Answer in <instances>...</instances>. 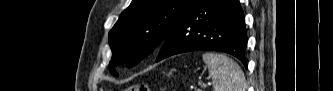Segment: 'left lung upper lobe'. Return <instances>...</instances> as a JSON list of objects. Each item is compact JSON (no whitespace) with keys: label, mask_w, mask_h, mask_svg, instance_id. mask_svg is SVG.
<instances>
[{"label":"left lung upper lobe","mask_w":333,"mask_h":91,"mask_svg":"<svg viewBox=\"0 0 333 91\" xmlns=\"http://www.w3.org/2000/svg\"><path fill=\"white\" fill-rule=\"evenodd\" d=\"M198 0H132L109 33L110 65L132 67L160 47ZM114 75H118L110 67Z\"/></svg>","instance_id":"5c2ea615"}]
</instances>
